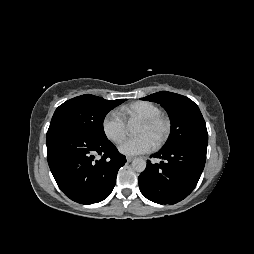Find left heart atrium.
Instances as JSON below:
<instances>
[{"label":"left heart atrium","instance_id":"left-heart-atrium-1","mask_svg":"<svg viewBox=\"0 0 254 254\" xmlns=\"http://www.w3.org/2000/svg\"><path fill=\"white\" fill-rule=\"evenodd\" d=\"M155 142L147 135H139L126 139L119 147L122 154L134 156L151 151Z\"/></svg>","mask_w":254,"mask_h":254}]
</instances>
